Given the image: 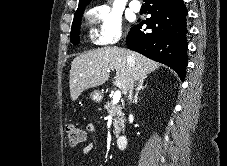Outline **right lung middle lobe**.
Returning <instances> with one entry per match:
<instances>
[{"instance_id":"obj_1","label":"right lung middle lobe","mask_w":227,"mask_h":166,"mask_svg":"<svg viewBox=\"0 0 227 166\" xmlns=\"http://www.w3.org/2000/svg\"><path fill=\"white\" fill-rule=\"evenodd\" d=\"M84 10H85L84 8L77 9L74 15V20L71 28V39H70V42L73 43L74 45L79 44V31H80V25H81V18L83 16Z\"/></svg>"}]
</instances>
